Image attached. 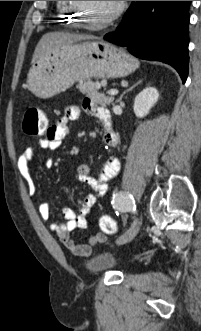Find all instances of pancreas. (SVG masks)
Listing matches in <instances>:
<instances>
[{
  "mask_svg": "<svg viewBox=\"0 0 201 331\" xmlns=\"http://www.w3.org/2000/svg\"><path fill=\"white\" fill-rule=\"evenodd\" d=\"M77 88L81 93L86 94L89 98L93 99L102 106L109 105L114 101L113 97L105 96L104 94L98 92L96 83L92 82L90 79H82L77 84Z\"/></svg>",
  "mask_w": 201,
  "mask_h": 331,
  "instance_id": "pancreas-1",
  "label": "pancreas"
}]
</instances>
